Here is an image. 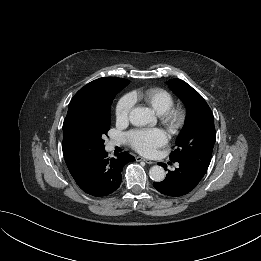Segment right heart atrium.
I'll return each instance as SVG.
<instances>
[{
    "instance_id": "d8ad5b80",
    "label": "right heart atrium",
    "mask_w": 261,
    "mask_h": 261,
    "mask_svg": "<svg viewBox=\"0 0 261 261\" xmlns=\"http://www.w3.org/2000/svg\"><path fill=\"white\" fill-rule=\"evenodd\" d=\"M133 100L129 95L123 96L115 108V117L118 123H126L133 109Z\"/></svg>"
}]
</instances>
